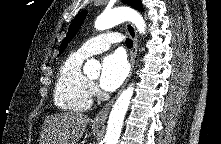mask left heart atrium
<instances>
[{
  "label": "left heart atrium",
  "mask_w": 221,
  "mask_h": 144,
  "mask_svg": "<svg viewBox=\"0 0 221 144\" xmlns=\"http://www.w3.org/2000/svg\"><path fill=\"white\" fill-rule=\"evenodd\" d=\"M128 73L126 59L119 53L107 55L102 61L100 86L105 91L117 89Z\"/></svg>",
  "instance_id": "1"
}]
</instances>
